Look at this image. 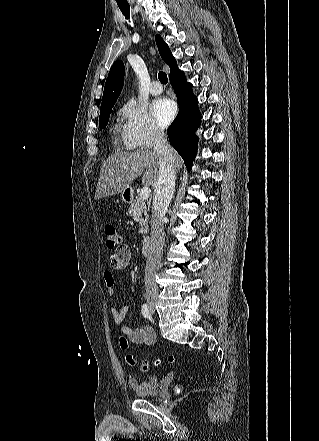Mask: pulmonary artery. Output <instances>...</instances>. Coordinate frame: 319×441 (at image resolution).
<instances>
[{
    "mask_svg": "<svg viewBox=\"0 0 319 441\" xmlns=\"http://www.w3.org/2000/svg\"><path fill=\"white\" fill-rule=\"evenodd\" d=\"M149 90L152 95H159L163 91L162 86L158 81H153Z\"/></svg>",
    "mask_w": 319,
    "mask_h": 441,
    "instance_id": "e3ab8cb5",
    "label": "pulmonary artery"
}]
</instances>
